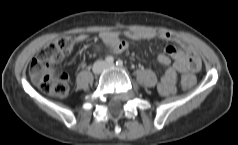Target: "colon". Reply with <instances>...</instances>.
Listing matches in <instances>:
<instances>
[{"label": "colon", "mask_w": 238, "mask_h": 145, "mask_svg": "<svg viewBox=\"0 0 238 145\" xmlns=\"http://www.w3.org/2000/svg\"><path fill=\"white\" fill-rule=\"evenodd\" d=\"M74 44L71 37H61L48 43L32 60L29 71L39 88L50 95L65 97L69 92V78L65 72H55L52 67L58 64ZM194 84L193 77L182 79L184 88Z\"/></svg>", "instance_id": "5ec220e1"}]
</instances>
